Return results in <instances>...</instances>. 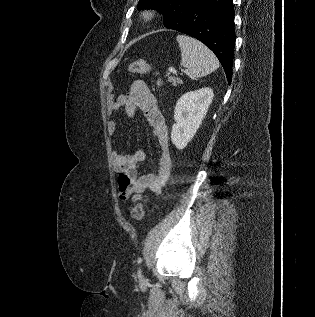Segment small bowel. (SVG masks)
I'll return each instance as SVG.
<instances>
[{
  "label": "small bowel",
  "instance_id": "c3829d8e",
  "mask_svg": "<svg viewBox=\"0 0 315 317\" xmlns=\"http://www.w3.org/2000/svg\"><path fill=\"white\" fill-rule=\"evenodd\" d=\"M122 108L130 118L135 117L138 109L143 112L158 142L160 157L158 168L155 171L138 175L137 164L146 160V152L137 150L122 153L117 147H114L112 160L114 171L118 176L119 197L122 200L129 198L136 200L147 190L159 194L166 185L172 168L168 127L159 104L145 82L135 81L127 95L109 105L111 113H116ZM117 128L118 124L115 120L108 122L107 132L110 136L116 132Z\"/></svg>",
  "mask_w": 315,
  "mask_h": 317
}]
</instances>
